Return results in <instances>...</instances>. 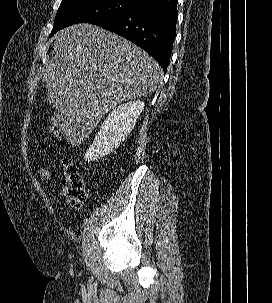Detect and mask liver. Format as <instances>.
I'll list each match as a JSON object with an SVG mask.
<instances>
[{
    "label": "liver",
    "instance_id": "liver-1",
    "mask_svg": "<svg viewBox=\"0 0 272 303\" xmlns=\"http://www.w3.org/2000/svg\"><path fill=\"white\" fill-rule=\"evenodd\" d=\"M43 73L47 102L60 114V129L79 146L118 104L154 92L163 69L145 51L92 24L67 27L53 37Z\"/></svg>",
    "mask_w": 272,
    "mask_h": 303
}]
</instances>
